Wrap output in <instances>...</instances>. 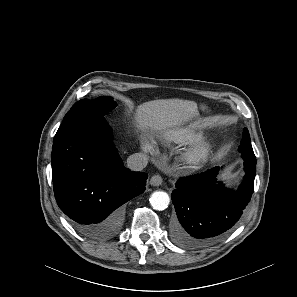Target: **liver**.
I'll return each instance as SVG.
<instances>
[{"label":"liver","mask_w":297,"mask_h":297,"mask_svg":"<svg viewBox=\"0 0 297 297\" xmlns=\"http://www.w3.org/2000/svg\"><path fill=\"white\" fill-rule=\"evenodd\" d=\"M198 115L194 101L160 99L138 106L135 122L141 131L154 130L162 133L188 122Z\"/></svg>","instance_id":"obj_1"}]
</instances>
